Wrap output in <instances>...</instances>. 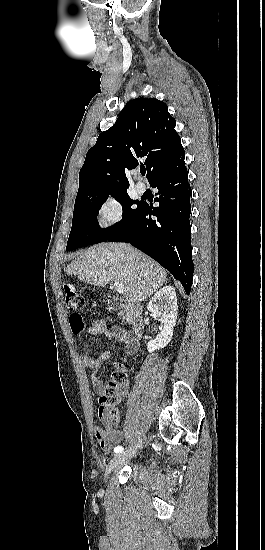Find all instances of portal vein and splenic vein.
Here are the masks:
<instances>
[{"mask_svg":"<svg viewBox=\"0 0 265 550\" xmlns=\"http://www.w3.org/2000/svg\"><path fill=\"white\" fill-rule=\"evenodd\" d=\"M114 287H115L116 291L120 294H123L125 292V288H124L122 283L114 282Z\"/></svg>","mask_w":265,"mask_h":550,"instance_id":"1","label":"portal vein and splenic vein"}]
</instances>
